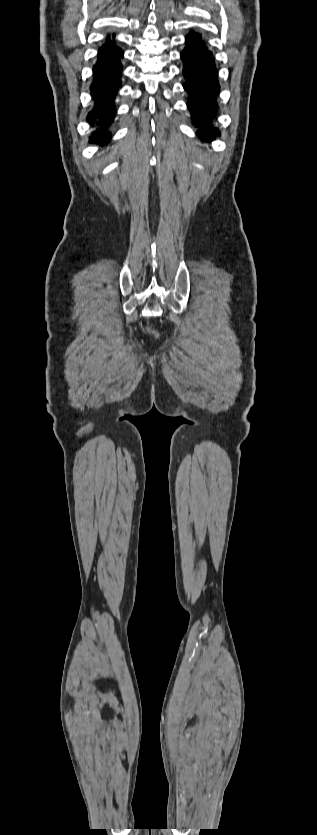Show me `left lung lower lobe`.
<instances>
[{"label":"left lung lower lobe","instance_id":"1","mask_svg":"<svg viewBox=\"0 0 317 835\" xmlns=\"http://www.w3.org/2000/svg\"><path fill=\"white\" fill-rule=\"evenodd\" d=\"M187 46L181 53L183 73L186 83L188 108L193 117V123L199 127L197 134L206 141L213 140L220 135L218 128L212 125V115L218 108L216 94L220 89L218 71L212 52L202 40L200 34L191 32L186 37Z\"/></svg>","mask_w":317,"mask_h":835}]
</instances>
